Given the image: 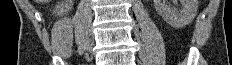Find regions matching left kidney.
Instances as JSON below:
<instances>
[{
	"label": "left kidney",
	"instance_id": "5707ae66",
	"mask_svg": "<svg viewBox=\"0 0 232 65\" xmlns=\"http://www.w3.org/2000/svg\"><path fill=\"white\" fill-rule=\"evenodd\" d=\"M155 9L161 17L174 28H183L190 24L197 12V0H180L182 8L180 11L173 9L165 0H153Z\"/></svg>",
	"mask_w": 232,
	"mask_h": 65
}]
</instances>
